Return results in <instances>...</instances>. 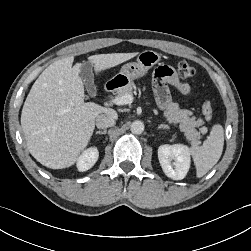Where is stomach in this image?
<instances>
[{"instance_id":"stomach-1","label":"stomach","mask_w":251,"mask_h":251,"mask_svg":"<svg viewBox=\"0 0 251 251\" xmlns=\"http://www.w3.org/2000/svg\"><path fill=\"white\" fill-rule=\"evenodd\" d=\"M160 55L152 50L141 52L136 62H129L122 66L120 72L113 77L118 87L131 83L143 77L148 70L160 61Z\"/></svg>"}]
</instances>
